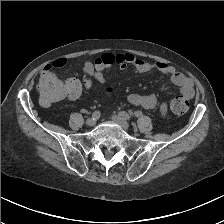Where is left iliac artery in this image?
<instances>
[{
	"label": "left iliac artery",
	"mask_w": 224,
	"mask_h": 224,
	"mask_svg": "<svg viewBox=\"0 0 224 224\" xmlns=\"http://www.w3.org/2000/svg\"><path fill=\"white\" fill-rule=\"evenodd\" d=\"M119 116L126 120H129L131 118L130 115L125 111L119 112Z\"/></svg>",
	"instance_id": "44dca946"
}]
</instances>
